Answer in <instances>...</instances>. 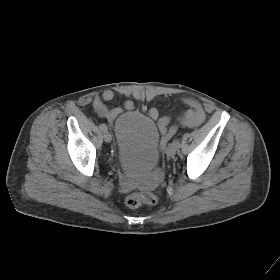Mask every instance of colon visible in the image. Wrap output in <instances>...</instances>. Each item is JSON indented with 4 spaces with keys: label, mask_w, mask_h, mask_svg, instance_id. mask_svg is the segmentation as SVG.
Returning a JSON list of instances; mask_svg holds the SVG:
<instances>
[{
    "label": "colon",
    "mask_w": 280,
    "mask_h": 280,
    "mask_svg": "<svg viewBox=\"0 0 280 280\" xmlns=\"http://www.w3.org/2000/svg\"><path fill=\"white\" fill-rule=\"evenodd\" d=\"M157 202L158 196L151 191L130 193L125 198V204L130 208H136L142 204L155 205Z\"/></svg>",
    "instance_id": "1"
}]
</instances>
